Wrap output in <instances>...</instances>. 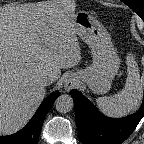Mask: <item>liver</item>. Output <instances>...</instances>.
I'll return each instance as SVG.
<instances>
[{
	"instance_id": "liver-1",
	"label": "liver",
	"mask_w": 144,
	"mask_h": 144,
	"mask_svg": "<svg viewBox=\"0 0 144 144\" xmlns=\"http://www.w3.org/2000/svg\"><path fill=\"white\" fill-rule=\"evenodd\" d=\"M74 0L21 4L0 11V135L20 130L45 96L40 80L60 78L81 60Z\"/></svg>"
}]
</instances>
